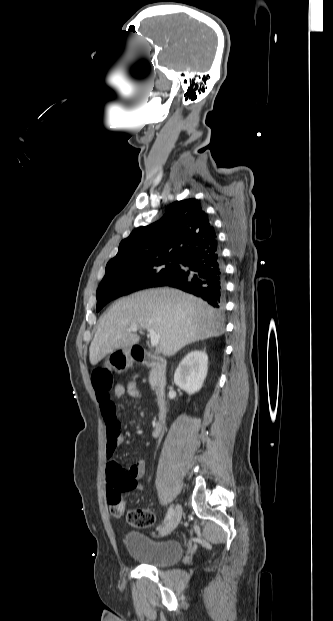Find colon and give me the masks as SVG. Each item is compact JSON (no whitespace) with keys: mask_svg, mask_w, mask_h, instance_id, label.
Masks as SVG:
<instances>
[{"mask_svg":"<svg viewBox=\"0 0 333 621\" xmlns=\"http://www.w3.org/2000/svg\"><path fill=\"white\" fill-rule=\"evenodd\" d=\"M124 396L131 400H137L140 397V387L137 381L131 380L124 386ZM107 477L108 481L120 491H130L134 487V480L130 473L116 461L108 464ZM110 512L113 516L119 517L123 514L124 507L114 505L110 508ZM127 522L136 528H146L154 524L155 516L147 509L136 508L127 513Z\"/></svg>","mask_w":333,"mask_h":621,"instance_id":"obj_1","label":"colon"}]
</instances>
